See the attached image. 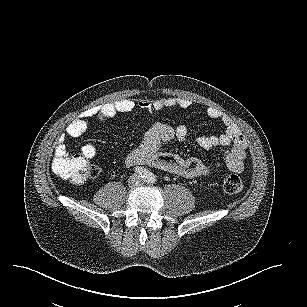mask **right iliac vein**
Returning <instances> with one entry per match:
<instances>
[{"label": "right iliac vein", "mask_w": 307, "mask_h": 307, "mask_svg": "<svg viewBox=\"0 0 307 307\" xmlns=\"http://www.w3.org/2000/svg\"><path fill=\"white\" fill-rule=\"evenodd\" d=\"M136 182H137V176H132L129 180H128V184L130 185V186H134V184H136Z\"/></svg>", "instance_id": "63e3f726"}]
</instances>
